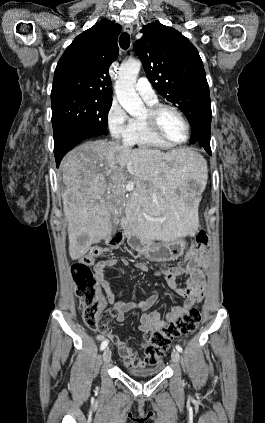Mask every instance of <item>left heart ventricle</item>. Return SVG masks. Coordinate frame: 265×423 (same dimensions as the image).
I'll return each instance as SVG.
<instances>
[{
	"mask_svg": "<svg viewBox=\"0 0 265 423\" xmlns=\"http://www.w3.org/2000/svg\"><path fill=\"white\" fill-rule=\"evenodd\" d=\"M159 124L162 132L172 141L180 142L185 139V125L174 112L163 111L159 117Z\"/></svg>",
	"mask_w": 265,
	"mask_h": 423,
	"instance_id": "left-heart-ventricle-1",
	"label": "left heart ventricle"
}]
</instances>
